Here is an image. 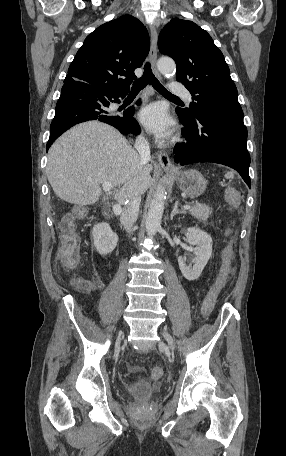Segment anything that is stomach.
Returning <instances> with one entry per match:
<instances>
[{"label": "stomach", "mask_w": 286, "mask_h": 456, "mask_svg": "<svg viewBox=\"0 0 286 456\" xmlns=\"http://www.w3.org/2000/svg\"><path fill=\"white\" fill-rule=\"evenodd\" d=\"M173 178L179 188L192 199L199 197L207 187L205 178L195 169L181 171L173 175Z\"/></svg>", "instance_id": "stomach-1"}]
</instances>
